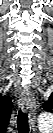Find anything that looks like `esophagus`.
I'll use <instances>...</instances> for the list:
<instances>
[{
    "label": "esophagus",
    "instance_id": "1",
    "mask_svg": "<svg viewBox=\"0 0 53 133\" xmlns=\"http://www.w3.org/2000/svg\"><path fill=\"white\" fill-rule=\"evenodd\" d=\"M21 107L24 111L28 112L29 120L32 126L35 124V106L36 102L30 93H23L21 97Z\"/></svg>",
    "mask_w": 53,
    "mask_h": 133
}]
</instances>
